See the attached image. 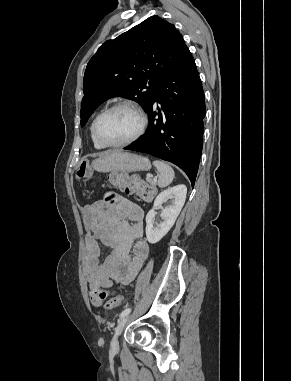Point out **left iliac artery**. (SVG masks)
<instances>
[{
    "label": "left iliac artery",
    "mask_w": 291,
    "mask_h": 381,
    "mask_svg": "<svg viewBox=\"0 0 291 381\" xmlns=\"http://www.w3.org/2000/svg\"><path fill=\"white\" fill-rule=\"evenodd\" d=\"M131 312V308H126L124 309L121 314H120V318L126 316L127 314H129Z\"/></svg>",
    "instance_id": "44dca946"
}]
</instances>
